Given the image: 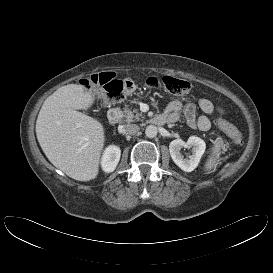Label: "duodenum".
Returning a JSON list of instances; mask_svg holds the SVG:
<instances>
[{"mask_svg": "<svg viewBox=\"0 0 273 273\" xmlns=\"http://www.w3.org/2000/svg\"><path fill=\"white\" fill-rule=\"evenodd\" d=\"M121 118V114L118 108H111L108 112V120L111 124H116ZM150 122L154 125L161 126L167 122V119L163 115H156L150 119Z\"/></svg>", "mask_w": 273, "mask_h": 273, "instance_id": "duodenum-1", "label": "duodenum"}]
</instances>
